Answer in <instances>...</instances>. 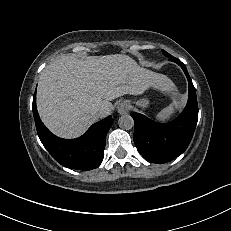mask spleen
<instances>
[{"label": "spleen", "instance_id": "1", "mask_svg": "<svg viewBox=\"0 0 231 231\" xmlns=\"http://www.w3.org/2000/svg\"><path fill=\"white\" fill-rule=\"evenodd\" d=\"M179 108H180V98H179V96H176L173 98V101L170 103L169 106L162 109L155 116V119L159 122H165V121L169 120Z\"/></svg>", "mask_w": 231, "mask_h": 231}]
</instances>
